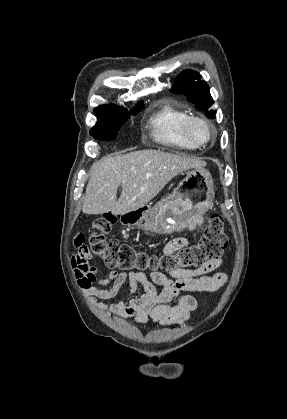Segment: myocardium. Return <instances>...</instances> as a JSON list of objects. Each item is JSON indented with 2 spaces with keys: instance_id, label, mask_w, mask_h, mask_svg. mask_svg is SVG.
Masks as SVG:
<instances>
[{
  "instance_id": "1",
  "label": "myocardium",
  "mask_w": 287,
  "mask_h": 419,
  "mask_svg": "<svg viewBox=\"0 0 287 419\" xmlns=\"http://www.w3.org/2000/svg\"><path fill=\"white\" fill-rule=\"evenodd\" d=\"M194 123H199L206 128V130L208 132V137L205 140L197 141V140L192 138V136L190 134V127ZM182 134L185 137V139L195 147L204 146V145L208 144L209 142H211L214 138V131H213V128H212L211 124L205 118L200 117V116H195V115H188L184 119V121L182 123Z\"/></svg>"
}]
</instances>
